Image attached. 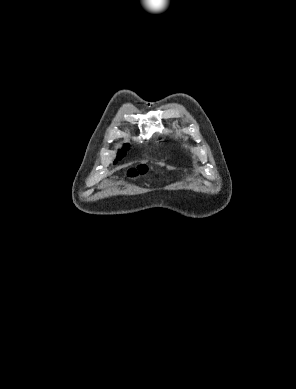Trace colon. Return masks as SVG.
<instances>
[{
  "label": "colon",
  "mask_w": 296,
  "mask_h": 389,
  "mask_svg": "<svg viewBox=\"0 0 296 389\" xmlns=\"http://www.w3.org/2000/svg\"><path fill=\"white\" fill-rule=\"evenodd\" d=\"M146 171H147V167L141 165L137 168L131 169L129 172V176L130 177H137L138 175L144 174Z\"/></svg>",
  "instance_id": "5ec220e1"
}]
</instances>
